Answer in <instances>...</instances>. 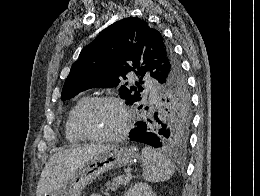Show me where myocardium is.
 Wrapping results in <instances>:
<instances>
[{
    "instance_id": "obj_1",
    "label": "myocardium",
    "mask_w": 260,
    "mask_h": 196,
    "mask_svg": "<svg viewBox=\"0 0 260 196\" xmlns=\"http://www.w3.org/2000/svg\"><path fill=\"white\" fill-rule=\"evenodd\" d=\"M99 103H110L116 105L123 115V124L122 126L114 133L107 135H93L89 133L83 125V117L85 113L94 105ZM75 124L80 132V134L86 140L95 141V142H114L122 140L129 132V129L132 124L131 113L125 104L119 97L114 95H97L88 99L78 110L75 118Z\"/></svg>"
}]
</instances>
